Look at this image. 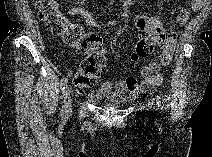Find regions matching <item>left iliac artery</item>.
Here are the masks:
<instances>
[{
	"instance_id": "left-iliac-artery-1",
	"label": "left iliac artery",
	"mask_w": 212,
	"mask_h": 157,
	"mask_svg": "<svg viewBox=\"0 0 212 157\" xmlns=\"http://www.w3.org/2000/svg\"><path fill=\"white\" fill-rule=\"evenodd\" d=\"M159 103H160V101L158 100V101H157L158 106H159Z\"/></svg>"
}]
</instances>
